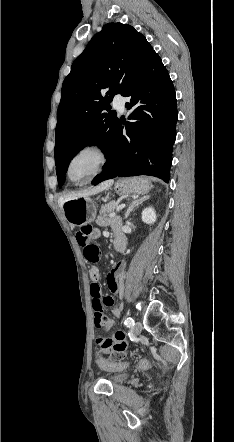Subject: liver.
<instances>
[{"label": "liver", "instance_id": "1", "mask_svg": "<svg viewBox=\"0 0 234 442\" xmlns=\"http://www.w3.org/2000/svg\"><path fill=\"white\" fill-rule=\"evenodd\" d=\"M113 183H114V180H112V179L106 180V181L100 183L99 185H97V186H95L93 188L87 189V190L82 191V192L70 194L68 196L61 197L59 199V205L62 208L63 204L65 202H67V201H70V200H73V199H76V198H79V197H88L90 195L98 194V193L106 190L110 186H112Z\"/></svg>", "mask_w": 234, "mask_h": 442}]
</instances>
